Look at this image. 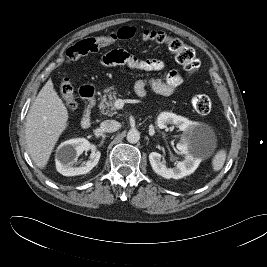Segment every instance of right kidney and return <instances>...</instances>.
Here are the masks:
<instances>
[{
  "label": "right kidney",
  "mask_w": 267,
  "mask_h": 267,
  "mask_svg": "<svg viewBox=\"0 0 267 267\" xmlns=\"http://www.w3.org/2000/svg\"><path fill=\"white\" fill-rule=\"evenodd\" d=\"M91 150L90 158L84 166H73L78 156L83 151ZM101 153L96 146L84 138H76L65 141L60 145L56 168L64 176L83 175L91 171L98 163Z\"/></svg>",
  "instance_id": "right-kidney-1"
}]
</instances>
